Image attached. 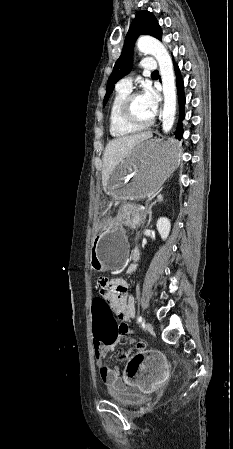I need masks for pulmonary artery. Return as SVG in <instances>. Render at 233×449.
I'll return each instance as SVG.
<instances>
[{"label": "pulmonary artery", "instance_id": "e3ab8cb5", "mask_svg": "<svg viewBox=\"0 0 233 449\" xmlns=\"http://www.w3.org/2000/svg\"><path fill=\"white\" fill-rule=\"evenodd\" d=\"M141 65H142L143 69L146 71H153L156 67V63L153 58H145L142 61ZM117 86L131 89L132 88V77L129 76V77L122 79L118 83Z\"/></svg>", "mask_w": 233, "mask_h": 449}]
</instances>
